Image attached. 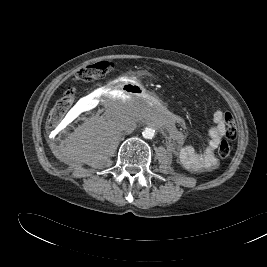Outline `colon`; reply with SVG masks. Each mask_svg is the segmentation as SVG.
Here are the masks:
<instances>
[{"instance_id": "colon-1", "label": "colon", "mask_w": 267, "mask_h": 267, "mask_svg": "<svg viewBox=\"0 0 267 267\" xmlns=\"http://www.w3.org/2000/svg\"><path fill=\"white\" fill-rule=\"evenodd\" d=\"M112 65L110 62L103 61L96 64L84 66L80 68L74 75V78L79 81H93L101 78L104 74H106ZM75 98V91L73 88H68L65 90L60 97V99L56 102L54 107L51 109L47 123L49 126L57 125L62 118L65 116L69 108L72 106ZM227 128H226V138L232 140L236 137V128L234 121L231 115L227 116ZM231 146L227 140H223L218 147V155L221 158H226L230 155Z\"/></svg>"}]
</instances>
